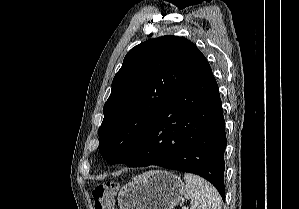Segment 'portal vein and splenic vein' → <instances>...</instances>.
<instances>
[{"label":"portal vein and splenic vein","mask_w":299,"mask_h":209,"mask_svg":"<svg viewBox=\"0 0 299 209\" xmlns=\"http://www.w3.org/2000/svg\"><path fill=\"white\" fill-rule=\"evenodd\" d=\"M182 209H188L186 206L182 207Z\"/></svg>","instance_id":"1"}]
</instances>
